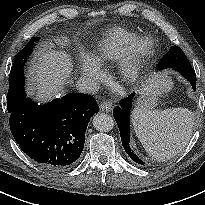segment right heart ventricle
Segmentation results:
<instances>
[{
  "label": "right heart ventricle",
  "mask_w": 205,
  "mask_h": 205,
  "mask_svg": "<svg viewBox=\"0 0 205 205\" xmlns=\"http://www.w3.org/2000/svg\"><path fill=\"white\" fill-rule=\"evenodd\" d=\"M136 35L124 28L107 31L91 52L92 59L100 65L113 62L125 55L133 46Z\"/></svg>",
  "instance_id": "right-heart-ventricle-1"
}]
</instances>
